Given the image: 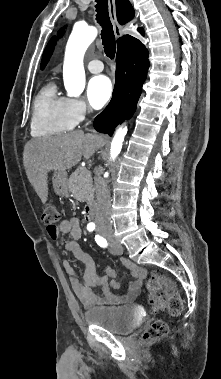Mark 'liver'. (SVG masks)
I'll return each mask as SVG.
<instances>
[{"mask_svg":"<svg viewBox=\"0 0 221 379\" xmlns=\"http://www.w3.org/2000/svg\"><path fill=\"white\" fill-rule=\"evenodd\" d=\"M104 144L101 136L84 134L81 130L27 142L23 162L27 177L42 203L45 204L48 198V172L66 171L77 165L82 156L89 159Z\"/></svg>","mask_w":221,"mask_h":379,"instance_id":"liver-1","label":"liver"}]
</instances>
